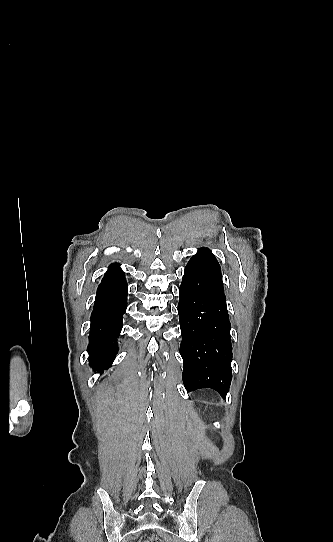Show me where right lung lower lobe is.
I'll list each match as a JSON object with an SVG mask.
<instances>
[{
  "label": "right lung lower lobe",
  "instance_id": "1",
  "mask_svg": "<svg viewBox=\"0 0 333 542\" xmlns=\"http://www.w3.org/2000/svg\"><path fill=\"white\" fill-rule=\"evenodd\" d=\"M127 283L117 264L111 265L98 286L91 313L88 353L93 370L109 368L118 353L116 338L127 308Z\"/></svg>",
  "mask_w": 333,
  "mask_h": 542
}]
</instances>
